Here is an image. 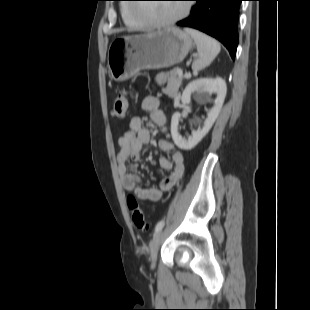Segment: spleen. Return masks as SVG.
Masks as SVG:
<instances>
[{"label":"spleen","mask_w":310,"mask_h":310,"mask_svg":"<svg viewBox=\"0 0 310 310\" xmlns=\"http://www.w3.org/2000/svg\"><path fill=\"white\" fill-rule=\"evenodd\" d=\"M185 32L194 39L199 55L198 59L193 62L192 68L195 71H200L209 66L219 54L221 50L220 44L212 37L198 30L186 28Z\"/></svg>","instance_id":"spleen-1"}]
</instances>
